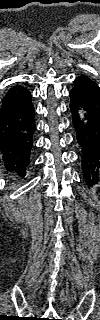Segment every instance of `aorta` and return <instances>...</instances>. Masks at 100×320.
<instances>
[{
  "label": "aorta",
  "instance_id": "762f6f07",
  "mask_svg": "<svg viewBox=\"0 0 100 320\" xmlns=\"http://www.w3.org/2000/svg\"><path fill=\"white\" fill-rule=\"evenodd\" d=\"M79 115H80V118L83 119L84 118V111L83 110H79Z\"/></svg>",
  "mask_w": 100,
  "mask_h": 320
}]
</instances>
